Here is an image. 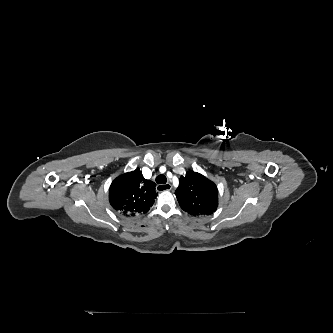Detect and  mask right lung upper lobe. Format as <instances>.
Wrapping results in <instances>:
<instances>
[{
	"instance_id": "1",
	"label": "right lung upper lobe",
	"mask_w": 333,
	"mask_h": 333,
	"mask_svg": "<svg viewBox=\"0 0 333 333\" xmlns=\"http://www.w3.org/2000/svg\"><path fill=\"white\" fill-rule=\"evenodd\" d=\"M156 184L146 180L139 169L117 177L109 189V202L122 216H135L149 211L157 196Z\"/></svg>"
}]
</instances>
